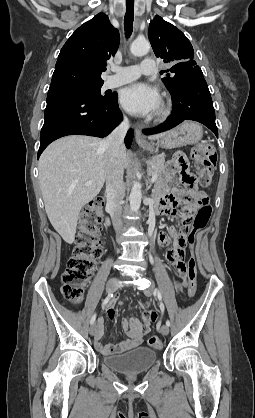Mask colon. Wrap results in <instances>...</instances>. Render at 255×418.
<instances>
[{"label":"colon","instance_id":"1","mask_svg":"<svg viewBox=\"0 0 255 418\" xmlns=\"http://www.w3.org/2000/svg\"><path fill=\"white\" fill-rule=\"evenodd\" d=\"M191 156L194 161L199 183L204 187L209 186L217 163L215 147L209 143L197 144L192 149ZM196 202L199 205V209L194 217L189 216L181 227L192 230V234H188L186 239L192 255L186 261L188 265V278L184 280L189 297L195 295L197 288V269L193 256V252H195L194 232L206 226L212 212L208 198L204 193L197 195ZM103 205V199L97 197L88 202L80 214V230L72 254L68 260L67 268L61 278L62 293L73 304H79L82 301L84 284L91 277L93 270L97 266V261L103 252L98 240ZM148 342L155 349H160L162 346V342L157 336H151Z\"/></svg>","mask_w":255,"mask_h":418}]
</instances>
